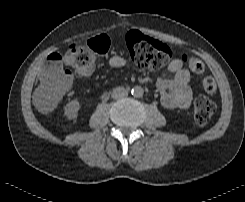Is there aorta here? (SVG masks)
<instances>
[{"instance_id":"obj_1","label":"aorta","mask_w":245,"mask_h":202,"mask_svg":"<svg viewBox=\"0 0 245 202\" xmlns=\"http://www.w3.org/2000/svg\"><path fill=\"white\" fill-rule=\"evenodd\" d=\"M131 94L136 98H140L143 96L144 90L141 86H135L132 88Z\"/></svg>"}]
</instances>
